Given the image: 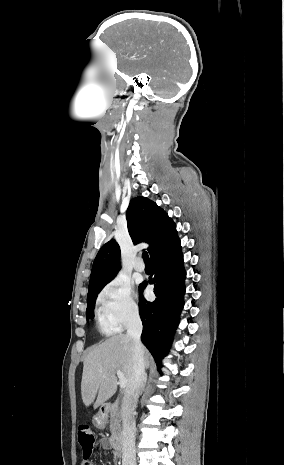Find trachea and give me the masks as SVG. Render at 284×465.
Returning <instances> with one entry per match:
<instances>
[{
  "label": "trachea",
  "instance_id": "obj_1",
  "mask_svg": "<svg viewBox=\"0 0 284 465\" xmlns=\"http://www.w3.org/2000/svg\"><path fill=\"white\" fill-rule=\"evenodd\" d=\"M142 257H143V260L145 262V265H150L148 253L143 252Z\"/></svg>",
  "mask_w": 284,
  "mask_h": 465
}]
</instances>
